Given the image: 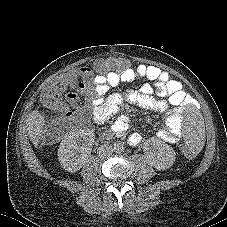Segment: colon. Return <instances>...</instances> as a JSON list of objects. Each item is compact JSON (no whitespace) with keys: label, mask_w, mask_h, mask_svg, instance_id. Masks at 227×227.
Here are the masks:
<instances>
[{"label":"colon","mask_w":227,"mask_h":227,"mask_svg":"<svg viewBox=\"0 0 227 227\" xmlns=\"http://www.w3.org/2000/svg\"><path fill=\"white\" fill-rule=\"evenodd\" d=\"M126 63L121 58H112L109 61L99 59L95 62L94 67L99 72H105L108 69L112 71H121L125 68ZM74 75L60 76L50 83L46 84L40 92L41 103L52 110L63 113H68L69 107L63 97L64 91L70 87L74 81ZM70 122L65 118H59L48 127L45 140L46 142L60 139L64 133L70 128ZM181 155L186 161L191 162L195 160V155L192 151L188 150L186 145L180 148Z\"/></svg>","instance_id":"5ec220e1"}]
</instances>
